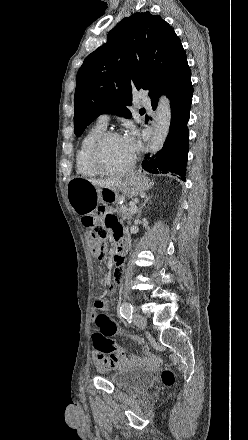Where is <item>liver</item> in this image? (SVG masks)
Returning <instances> with one entry per match:
<instances>
[{
	"instance_id": "6515ba94",
	"label": "liver",
	"mask_w": 248,
	"mask_h": 440,
	"mask_svg": "<svg viewBox=\"0 0 248 440\" xmlns=\"http://www.w3.org/2000/svg\"><path fill=\"white\" fill-rule=\"evenodd\" d=\"M90 182L96 187L101 188H112L114 186L119 185L121 180H90Z\"/></svg>"
}]
</instances>
